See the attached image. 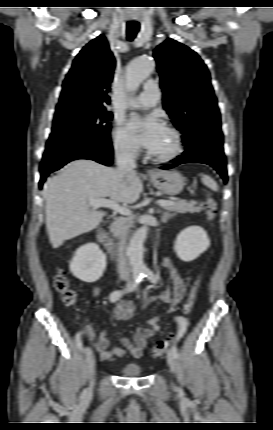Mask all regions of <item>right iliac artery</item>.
<instances>
[{"mask_svg":"<svg viewBox=\"0 0 273 430\" xmlns=\"http://www.w3.org/2000/svg\"><path fill=\"white\" fill-rule=\"evenodd\" d=\"M143 278H144V276L142 273L135 272L134 273V283L125 289L113 291L109 296V300L112 303L118 301L125 293H128L129 291L133 290L142 281ZM75 341H76V346L80 350H83V343L81 341L80 333H78L76 335Z\"/></svg>","mask_w":273,"mask_h":430,"instance_id":"1","label":"right iliac artery"}]
</instances>
